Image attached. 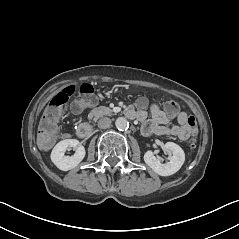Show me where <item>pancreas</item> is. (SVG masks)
Listing matches in <instances>:
<instances>
[{
    "label": "pancreas",
    "mask_w": 239,
    "mask_h": 239,
    "mask_svg": "<svg viewBox=\"0 0 239 239\" xmlns=\"http://www.w3.org/2000/svg\"><path fill=\"white\" fill-rule=\"evenodd\" d=\"M110 114H113L110 108L100 106L98 108H94L89 112L88 119H93V121L96 122L99 118Z\"/></svg>",
    "instance_id": "obj_1"
}]
</instances>
